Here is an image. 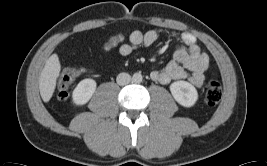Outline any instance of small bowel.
Listing matches in <instances>:
<instances>
[{
  "instance_id": "small-bowel-1",
  "label": "small bowel",
  "mask_w": 267,
  "mask_h": 166,
  "mask_svg": "<svg viewBox=\"0 0 267 166\" xmlns=\"http://www.w3.org/2000/svg\"><path fill=\"white\" fill-rule=\"evenodd\" d=\"M159 38L155 30L147 32L133 31L127 42L119 46L122 56L132 54L140 46H151ZM209 58L203 53L196 42L193 34L185 32L180 37L173 54V59L161 70L151 73V78L162 84H168L177 80H188L196 87H201L205 82V74L208 69ZM74 77L80 75V69H69Z\"/></svg>"
}]
</instances>
